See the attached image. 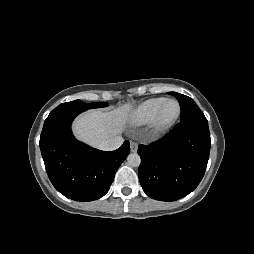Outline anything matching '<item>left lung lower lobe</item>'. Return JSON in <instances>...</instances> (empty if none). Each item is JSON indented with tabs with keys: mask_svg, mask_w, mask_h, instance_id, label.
Returning <instances> with one entry per match:
<instances>
[{
	"mask_svg": "<svg viewBox=\"0 0 254 254\" xmlns=\"http://www.w3.org/2000/svg\"><path fill=\"white\" fill-rule=\"evenodd\" d=\"M207 121L180 122L161 140L139 145V180L144 192L159 201H175L191 193L202 180L209 159Z\"/></svg>",
	"mask_w": 254,
	"mask_h": 254,
	"instance_id": "1",
	"label": "left lung lower lobe"
}]
</instances>
